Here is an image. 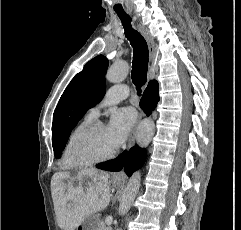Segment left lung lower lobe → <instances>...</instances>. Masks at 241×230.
<instances>
[{
  "mask_svg": "<svg viewBox=\"0 0 241 230\" xmlns=\"http://www.w3.org/2000/svg\"><path fill=\"white\" fill-rule=\"evenodd\" d=\"M146 159L145 149L134 146L128 152L124 151L116 159L98 164L96 167L107 171H120L124 169L128 176L141 168Z\"/></svg>",
  "mask_w": 241,
  "mask_h": 230,
  "instance_id": "0a47b994",
  "label": "left lung lower lobe"
}]
</instances>
